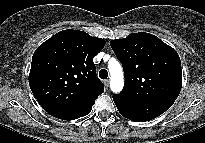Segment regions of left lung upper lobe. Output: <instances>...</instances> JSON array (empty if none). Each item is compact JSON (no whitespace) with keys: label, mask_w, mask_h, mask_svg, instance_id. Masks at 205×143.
Returning a JSON list of instances; mask_svg holds the SVG:
<instances>
[{"label":"left lung upper lobe","mask_w":205,"mask_h":143,"mask_svg":"<svg viewBox=\"0 0 205 143\" xmlns=\"http://www.w3.org/2000/svg\"><path fill=\"white\" fill-rule=\"evenodd\" d=\"M110 45L123 65L125 85L118 98L135 104L173 100L182 86L177 52L149 33H132Z\"/></svg>","instance_id":"5c2ea615"}]
</instances>
